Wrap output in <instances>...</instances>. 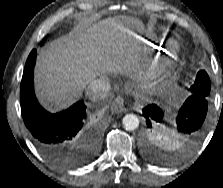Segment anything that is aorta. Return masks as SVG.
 I'll return each instance as SVG.
<instances>
[{
	"mask_svg": "<svg viewBox=\"0 0 223 188\" xmlns=\"http://www.w3.org/2000/svg\"><path fill=\"white\" fill-rule=\"evenodd\" d=\"M123 125L128 131L136 130L139 127V118L134 114H127L123 117Z\"/></svg>",
	"mask_w": 223,
	"mask_h": 188,
	"instance_id": "obj_1",
	"label": "aorta"
}]
</instances>
